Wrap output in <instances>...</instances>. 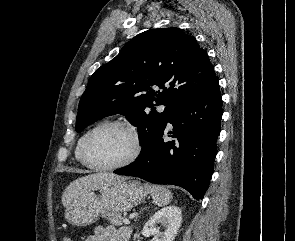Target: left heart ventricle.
<instances>
[{"label": "left heart ventricle", "mask_w": 295, "mask_h": 241, "mask_svg": "<svg viewBox=\"0 0 295 241\" xmlns=\"http://www.w3.org/2000/svg\"><path fill=\"white\" fill-rule=\"evenodd\" d=\"M132 150L131 134L123 128L111 127L94 136L88 148V155L93 163L112 165L128 158Z\"/></svg>", "instance_id": "obj_1"}]
</instances>
